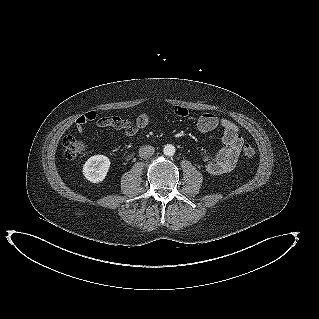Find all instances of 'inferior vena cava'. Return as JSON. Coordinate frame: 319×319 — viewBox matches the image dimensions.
I'll list each match as a JSON object with an SVG mask.
<instances>
[{"label": "inferior vena cava", "instance_id": "602c4592", "mask_svg": "<svg viewBox=\"0 0 319 319\" xmlns=\"http://www.w3.org/2000/svg\"><path fill=\"white\" fill-rule=\"evenodd\" d=\"M154 152H155L154 147H152L150 145L142 146L139 149V155L142 158H149L154 154Z\"/></svg>", "mask_w": 319, "mask_h": 319}]
</instances>
